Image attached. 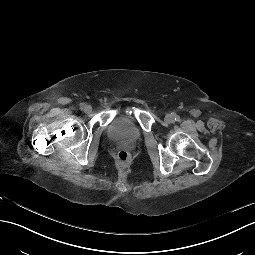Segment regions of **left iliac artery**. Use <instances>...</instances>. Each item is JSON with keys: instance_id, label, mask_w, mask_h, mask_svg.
Here are the masks:
<instances>
[{"instance_id": "obj_1", "label": "left iliac artery", "mask_w": 255, "mask_h": 255, "mask_svg": "<svg viewBox=\"0 0 255 255\" xmlns=\"http://www.w3.org/2000/svg\"><path fill=\"white\" fill-rule=\"evenodd\" d=\"M175 121L179 122L180 121V117L179 116H175Z\"/></svg>"}]
</instances>
